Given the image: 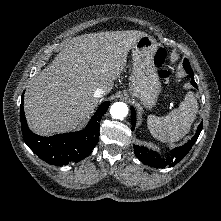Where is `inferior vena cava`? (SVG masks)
Wrapping results in <instances>:
<instances>
[{
    "label": "inferior vena cava",
    "instance_id": "obj_1",
    "mask_svg": "<svg viewBox=\"0 0 221 221\" xmlns=\"http://www.w3.org/2000/svg\"><path fill=\"white\" fill-rule=\"evenodd\" d=\"M103 95H105V91L101 88H97L94 92V97H96V98H100Z\"/></svg>",
    "mask_w": 221,
    "mask_h": 221
}]
</instances>
